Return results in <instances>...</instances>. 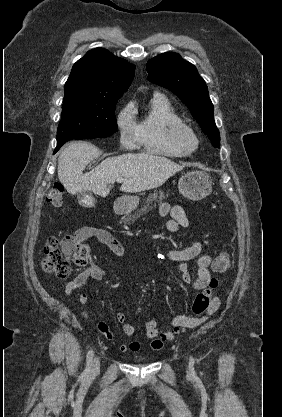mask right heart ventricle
<instances>
[{
	"label": "right heart ventricle",
	"mask_w": 282,
	"mask_h": 417,
	"mask_svg": "<svg viewBox=\"0 0 282 417\" xmlns=\"http://www.w3.org/2000/svg\"><path fill=\"white\" fill-rule=\"evenodd\" d=\"M129 115L137 126L138 141L147 150L169 156H180L182 152L172 144L169 135L162 131L163 121H180L170 102L156 95L150 102L147 112L138 117V110L132 106Z\"/></svg>",
	"instance_id": "right-heart-ventricle-1"
}]
</instances>
